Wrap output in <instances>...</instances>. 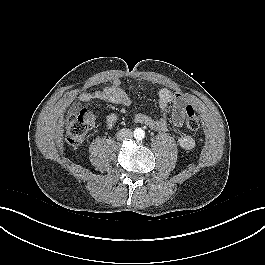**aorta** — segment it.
I'll use <instances>...</instances> for the list:
<instances>
[{"label":"aorta","mask_w":265,"mask_h":265,"mask_svg":"<svg viewBox=\"0 0 265 265\" xmlns=\"http://www.w3.org/2000/svg\"><path fill=\"white\" fill-rule=\"evenodd\" d=\"M145 136V133L144 131L141 129V128H137L135 131H134V137L138 140H141L143 139Z\"/></svg>","instance_id":"obj_1"}]
</instances>
